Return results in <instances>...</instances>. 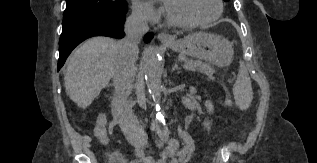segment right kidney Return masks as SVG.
<instances>
[{"label": "right kidney", "instance_id": "obj_1", "mask_svg": "<svg viewBox=\"0 0 317 163\" xmlns=\"http://www.w3.org/2000/svg\"><path fill=\"white\" fill-rule=\"evenodd\" d=\"M107 119L105 114H100L96 121V126L94 128V135L98 138L100 143L108 144L109 139L107 138L106 131Z\"/></svg>", "mask_w": 317, "mask_h": 163}]
</instances>
